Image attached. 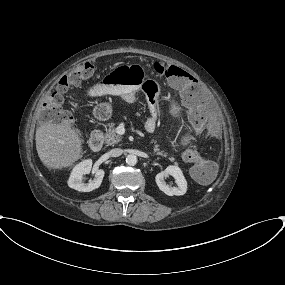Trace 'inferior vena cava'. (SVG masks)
I'll use <instances>...</instances> for the list:
<instances>
[{"label": "inferior vena cava", "instance_id": "1", "mask_svg": "<svg viewBox=\"0 0 285 285\" xmlns=\"http://www.w3.org/2000/svg\"><path fill=\"white\" fill-rule=\"evenodd\" d=\"M109 153L112 157H118L122 155L123 150L121 148H114V149H111Z\"/></svg>", "mask_w": 285, "mask_h": 285}]
</instances>
